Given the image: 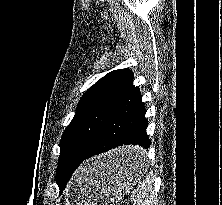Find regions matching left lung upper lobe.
<instances>
[{"label":"left lung upper lobe","mask_w":222,"mask_h":205,"mask_svg":"<svg viewBox=\"0 0 222 205\" xmlns=\"http://www.w3.org/2000/svg\"><path fill=\"white\" fill-rule=\"evenodd\" d=\"M133 80L129 69L114 70L91 86L80 99L74 118L60 141L57 184L61 187L71 177L66 161L81 158L92 145L108 114Z\"/></svg>","instance_id":"1"}]
</instances>
